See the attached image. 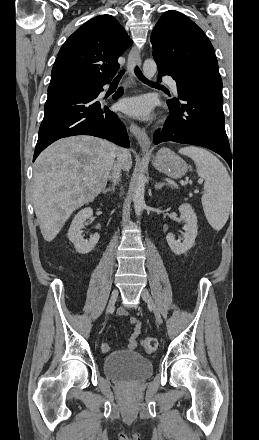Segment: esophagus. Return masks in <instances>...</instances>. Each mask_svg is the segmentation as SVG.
<instances>
[{"label": "esophagus", "mask_w": 259, "mask_h": 440, "mask_svg": "<svg viewBox=\"0 0 259 440\" xmlns=\"http://www.w3.org/2000/svg\"><path fill=\"white\" fill-rule=\"evenodd\" d=\"M141 62L142 59L139 50L137 49L136 46H133L129 54V73L132 82H135L136 79L135 69L136 67H141ZM130 131L136 137L142 151L144 153H148L150 148V140L146 133V130L144 128L139 127L134 122H130Z\"/></svg>", "instance_id": "esophagus-1"}]
</instances>
